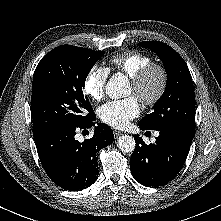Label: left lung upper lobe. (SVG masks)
<instances>
[{"label": "left lung upper lobe", "instance_id": "left-lung-upper-lobe-1", "mask_svg": "<svg viewBox=\"0 0 221 221\" xmlns=\"http://www.w3.org/2000/svg\"><path fill=\"white\" fill-rule=\"evenodd\" d=\"M157 53L167 73L166 89L139 124L149 130L178 126L195 132V95L191 74L182 57L169 45L159 41L140 42Z\"/></svg>", "mask_w": 221, "mask_h": 221}]
</instances>
